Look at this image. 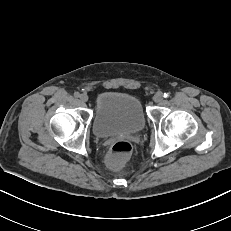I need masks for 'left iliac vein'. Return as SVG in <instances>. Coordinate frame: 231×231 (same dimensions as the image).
Returning <instances> with one entry per match:
<instances>
[{"instance_id": "obj_1", "label": "left iliac vein", "mask_w": 231, "mask_h": 231, "mask_svg": "<svg viewBox=\"0 0 231 231\" xmlns=\"http://www.w3.org/2000/svg\"><path fill=\"white\" fill-rule=\"evenodd\" d=\"M153 100H154V102H156V103H160V102L163 100V94H162L161 92L156 93V94L153 96Z\"/></svg>"}]
</instances>
